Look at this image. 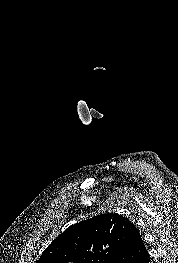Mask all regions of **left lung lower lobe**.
<instances>
[{
  "mask_svg": "<svg viewBox=\"0 0 178 263\" xmlns=\"http://www.w3.org/2000/svg\"><path fill=\"white\" fill-rule=\"evenodd\" d=\"M110 263H151L141 234L134 225L129 229L121 247Z\"/></svg>",
  "mask_w": 178,
  "mask_h": 263,
  "instance_id": "obj_1",
  "label": "left lung lower lobe"
}]
</instances>
